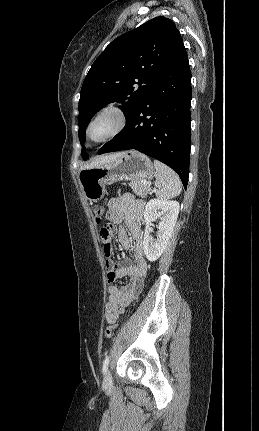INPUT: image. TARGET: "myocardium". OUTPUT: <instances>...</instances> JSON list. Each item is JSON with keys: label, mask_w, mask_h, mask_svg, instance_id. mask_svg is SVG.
<instances>
[{"label": "myocardium", "mask_w": 259, "mask_h": 431, "mask_svg": "<svg viewBox=\"0 0 259 431\" xmlns=\"http://www.w3.org/2000/svg\"><path fill=\"white\" fill-rule=\"evenodd\" d=\"M104 116L113 117L114 125L112 129L103 137L99 139H92L90 135L92 126ZM127 121H128L127 112L125 108L122 106V104L116 101L109 102L101 106L99 109H97L89 119L85 130L86 139L93 144L104 143L119 135L124 130L127 124Z\"/></svg>", "instance_id": "1"}]
</instances>
